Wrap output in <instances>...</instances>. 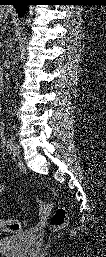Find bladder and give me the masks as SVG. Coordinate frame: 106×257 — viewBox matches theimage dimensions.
<instances>
[{
    "mask_svg": "<svg viewBox=\"0 0 106 257\" xmlns=\"http://www.w3.org/2000/svg\"><path fill=\"white\" fill-rule=\"evenodd\" d=\"M34 243L32 231L25 230L0 240V254L5 257H24Z\"/></svg>",
    "mask_w": 106,
    "mask_h": 257,
    "instance_id": "1",
    "label": "bladder"
}]
</instances>
